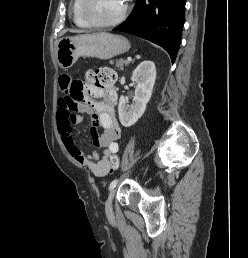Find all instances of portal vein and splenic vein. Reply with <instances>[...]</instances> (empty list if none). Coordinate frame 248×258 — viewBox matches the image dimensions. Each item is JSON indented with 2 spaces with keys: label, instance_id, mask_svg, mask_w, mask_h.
I'll return each instance as SVG.
<instances>
[{
  "label": "portal vein and splenic vein",
  "instance_id": "18ae733b",
  "mask_svg": "<svg viewBox=\"0 0 248 258\" xmlns=\"http://www.w3.org/2000/svg\"><path fill=\"white\" fill-rule=\"evenodd\" d=\"M127 60H128V61H132V58H131V57H127Z\"/></svg>",
  "mask_w": 248,
  "mask_h": 258
}]
</instances>
